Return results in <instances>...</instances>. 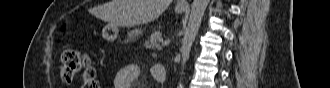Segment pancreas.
Listing matches in <instances>:
<instances>
[{"label":"pancreas","mask_w":330,"mask_h":88,"mask_svg":"<svg viewBox=\"0 0 330 88\" xmlns=\"http://www.w3.org/2000/svg\"><path fill=\"white\" fill-rule=\"evenodd\" d=\"M161 39V33L159 31H156L152 33V35L149 37V39L145 42V46L147 48H160L158 41Z\"/></svg>","instance_id":"cf45deb5"}]
</instances>
